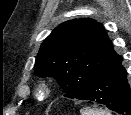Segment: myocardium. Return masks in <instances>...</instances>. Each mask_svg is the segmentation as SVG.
Listing matches in <instances>:
<instances>
[{"label": "myocardium", "mask_w": 131, "mask_h": 115, "mask_svg": "<svg viewBox=\"0 0 131 115\" xmlns=\"http://www.w3.org/2000/svg\"><path fill=\"white\" fill-rule=\"evenodd\" d=\"M50 93V86L48 83H46L45 81H41L38 83V85L36 86V94L37 95H42L43 97H48Z\"/></svg>", "instance_id": "f54148a6"}]
</instances>
